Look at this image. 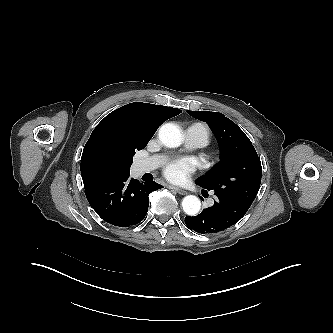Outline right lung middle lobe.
<instances>
[{
  "label": "right lung middle lobe",
  "mask_w": 333,
  "mask_h": 333,
  "mask_svg": "<svg viewBox=\"0 0 333 333\" xmlns=\"http://www.w3.org/2000/svg\"><path fill=\"white\" fill-rule=\"evenodd\" d=\"M146 145L130 139H112L105 145L104 154L117 167L120 175L130 174L135 151L143 149Z\"/></svg>",
  "instance_id": "right-lung-middle-lobe-1"
}]
</instances>
